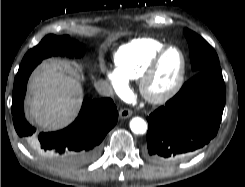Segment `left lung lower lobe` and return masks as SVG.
Instances as JSON below:
<instances>
[{"instance_id":"obj_1","label":"left lung lower lobe","mask_w":245,"mask_h":187,"mask_svg":"<svg viewBox=\"0 0 245 187\" xmlns=\"http://www.w3.org/2000/svg\"><path fill=\"white\" fill-rule=\"evenodd\" d=\"M224 105L220 66L199 71L178 94L147 117V157L167 164L191 156L217 134Z\"/></svg>"}]
</instances>
